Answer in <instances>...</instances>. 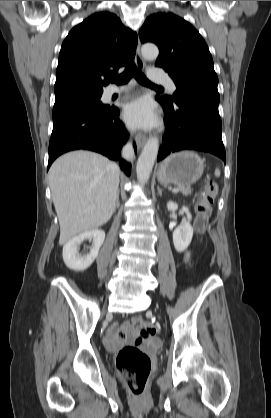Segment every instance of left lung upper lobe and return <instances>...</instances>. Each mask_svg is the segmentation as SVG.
<instances>
[{"instance_id":"1","label":"left lung upper lobe","mask_w":271,"mask_h":418,"mask_svg":"<svg viewBox=\"0 0 271 418\" xmlns=\"http://www.w3.org/2000/svg\"><path fill=\"white\" fill-rule=\"evenodd\" d=\"M142 43L153 42L159 48L155 65L162 67L173 79V97L164 96L166 105L173 106L182 94L193 95L219 103L218 77L212 56L198 31L173 13L150 15L139 31Z\"/></svg>"}]
</instances>
